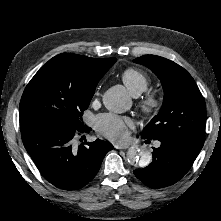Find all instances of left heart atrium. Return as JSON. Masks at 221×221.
Returning a JSON list of instances; mask_svg holds the SVG:
<instances>
[{
  "label": "left heart atrium",
  "instance_id": "obj_1",
  "mask_svg": "<svg viewBox=\"0 0 221 221\" xmlns=\"http://www.w3.org/2000/svg\"><path fill=\"white\" fill-rule=\"evenodd\" d=\"M133 126V122L128 117L119 116L112 113L100 114L95 119L96 130L116 142L126 139L129 128Z\"/></svg>",
  "mask_w": 221,
  "mask_h": 221
}]
</instances>
